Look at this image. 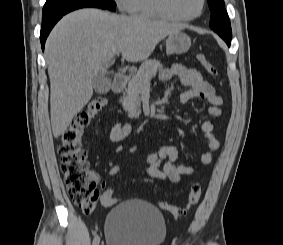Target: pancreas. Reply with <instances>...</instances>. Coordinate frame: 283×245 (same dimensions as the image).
Returning <instances> with one entry per match:
<instances>
[{"mask_svg":"<svg viewBox=\"0 0 283 245\" xmlns=\"http://www.w3.org/2000/svg\"><path fill=\"white\" fill-rule=\"evenodd\" d=\"M163 66L160 61L150 59L144 61L136 74H132V78L128 83L126 95L121 99L123 108L128 112L130 118H136L140 114V93L142 88L157 74V71L162 70Z\"/></svg>","mask_w":283,"mask_h":245,"instance_id":"cf45deb5","label":"pancreas"}]
</instances>
